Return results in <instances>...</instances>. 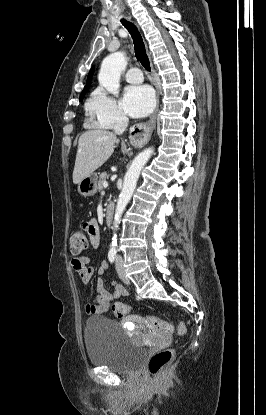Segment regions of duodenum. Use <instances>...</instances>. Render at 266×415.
Returning a JSON list of instances; mask_svg holds the SVG:
<instances>
[{
	"mask_svg": "<svg viewBox=\"0 0 266 415\" xmlns=\"http://www.w3.org/2000/svg\"><path fill=\"white\" fill-rule=\"evenodd\" d=\"M114 212H115L114 204L109 203L106 207V212H105V221H106L107 225L112 224L113 218H114Z\"/></svg>",
	"mask_w": 266,
	"mask_h": 415,
	"instance_id": "410a0bca",
	"label": "duodenum"
}]
</instances>
